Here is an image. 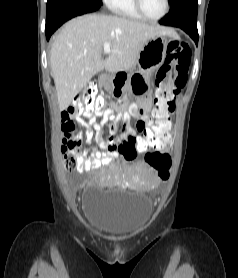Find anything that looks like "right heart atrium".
Listing matches in <instances>:
<instances>
[{"instance_id": "right-heart-atrium-1", "label": "right heart atrium", "mask_w": 238, "mask_h": 278, "mask_svg": "<svg viewBox=\"0 0 238 278\" xmlns=\"http://www.w3.org/2000/svg\"><path fill=\"white\" fill-rule=\"evenodd\" d=\"M107 6H109L113 0H103Z\"/></svg>"}]
</instances>
